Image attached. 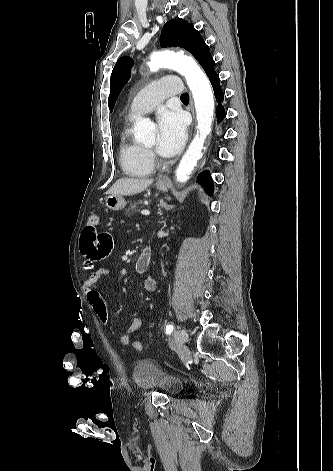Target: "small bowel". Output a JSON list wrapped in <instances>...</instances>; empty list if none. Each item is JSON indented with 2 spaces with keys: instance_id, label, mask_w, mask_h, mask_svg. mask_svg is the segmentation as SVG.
Segmentation results:
<instances>
[{
  "instance_id": "obj_1",
  "label": "small bowel",
  "mask_w": 333,
  "mask_h": 471,
  "mask_svg": "<svg viewBox=\"0 0 333 471\" xmlns=\"http://www.w3.org/2000/svg\"><path fill=\"white\" fill-rule=\"evenodd\" d=\"M111 249L112 238L105 233H98L96 228L88 223L80 238V251L84 257V267L87 271L84 291L90 307L104 324L109 323L110 317L106 302L97 286L100 281L109 277L110 272L104 267H99L97 263L106 257ZM141 326V320L137 317L133 318L126 329V333L120 336L119 342L122 345H128L130 335L138 331Z\"/></svg>"
}]
</instances>
